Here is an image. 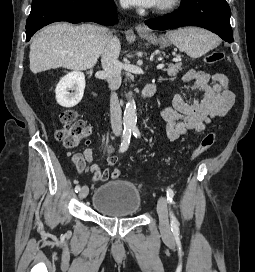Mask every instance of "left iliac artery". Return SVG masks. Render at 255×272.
<instances>
[{
	"label": "left iliac artery",
	"mask_w": 255,
	"mask_h": 272,
	"mask_svg": "<svg viewBox=\"0 0 255 272\" xmlns=\"http://www.w3.org/2000/svg\"><path fill=\"white\" fill-rule=\"evenodd\" d=\"M132 133L133 135L137 138L140 137V131L137 127L132 128ZM166 196H167V202L169 204H172L173 198H174V192L172 189L167 188L166 190ZM170 217H171V231L173 232L174 235H178L179 233V222L174 216V214L170 211Z\"/></svg>",
	"instance_id": "left-iliac-artery-1"
}]
</instances>
